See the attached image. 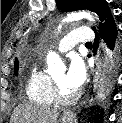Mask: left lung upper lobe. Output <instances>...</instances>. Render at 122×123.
I'll list each match as a JSON object with an SVG mask.
<instances>
[{"label": "left lung upper lobe", "instance_id": "obj_1", "mask_svg": "<svg viewBox=\"0 0 122 123\" xmlns=\"http://www.w3.org/2000/svg\"><path fill=\"white\" fill-rule=\"evenodd\" d=\"M57 7L62 11L88 9L96 12L101 21L100 27L110 15V8L106 0H56ZM95 30V28H93Z\"/></svg>", "mask_w": 122, "mask_h": 123}]
</instances>
